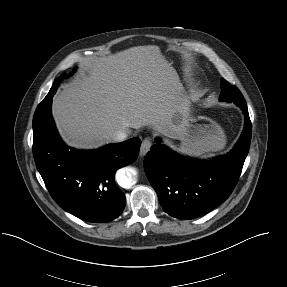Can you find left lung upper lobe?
<instances>
[{
    "label": "left lung upper lobe",
    "mask_w": 287,
    "mask_h": 287,
    "mask_svg": "<svg viewBox=\"0 0 287 287\" xmlns=\"http://www.w3.org/2000/svg\"><path fill=\"white\" fill-rule=\"evenodd\" d=\"M220 85L222 89L219 97L220 100L234 102L235 104L245 103V100L241 92L235 86L228 83L224 78H221Z\"/></svg>",
    "instance_id": "obj_1"
}]
</instances>
